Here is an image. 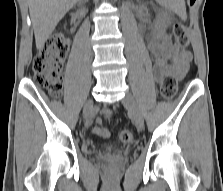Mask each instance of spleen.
Instances as JSON below:
<instances>
[{"instance_id":"spleen-1","label":"spleen","mask_w":223,"mask_h":191,"mask_svg":"<svg viewBox=\"0 0 223 191\" xmlns=\"http://www.w3.org/2000/svg\"><path fill=\"white\" fill-rule=\"evenodd\" d=\"M172 5L171 8L175 11L180 17L185 18L186 11H185V2L184 0H171Z\"/></svg>"}]
</instances>
